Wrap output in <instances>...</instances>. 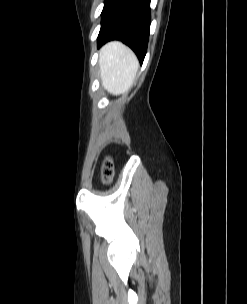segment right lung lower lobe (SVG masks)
I'll return each instance as SVG.
<instances>
[{"instance_id": "obj_1", "label": "right lung lower lobe", "mask_w": 247, "mask_h": 304, "mask_svg": "<svg viewBox=\"0 0 247 304\" xmlns=\"http://www.w3.org/2000/svg\"><path fill=\"white\" fill-rule=\"evenodd\" d=\"M151 0H105L98 48L110 40L127 44L142 64L147 51Z\"/></svg>"}]
</instances>
